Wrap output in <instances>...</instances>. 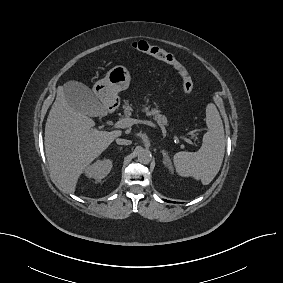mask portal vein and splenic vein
I'll return each mask as SVG.
<instances>
[{
  "label": "portal vein and splenic vein",
  "mask_w": 283,
  "mask_h": 283,
  "mask_svg": "<svg viewBox=\"0 0 283 283\" xmlns=\"http://www.w3.org/2000/svg\"><path fill=\"white\" fill-rule=\"evenodd\" d=\"M134 124H145V125L156 128V125L149 120L134 119V118H131V117L118 120L115 123L114 126L116 128H127V127L134 125ZM161 131H162L163 134H166V130L164 128H161ZM175 137L178 138L177 136H175ZM179 138L186 141L188 144H191V145L193 144V142L187 137L181 136Z\"/></svg>",
  "instance_id": "18ae733b"
}]
</instances>
